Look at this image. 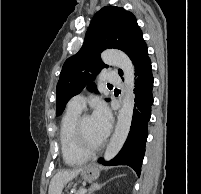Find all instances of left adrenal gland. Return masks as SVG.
Returning <instances> with one entry per match:
<instances>
[{"mask_svg":"<svg viewBox=\"0 0 201 194\" xmlns=\"http://www.w3.org/2000/svg\"><path fill=\"white\" fill-rule=\"evenodd\" d=\"M104 185H105V183H102V184L95 183V184L89 189V193H88V194H91V193H93L94 191L101 189Z\"/></svg>","mask_w":201,"mask_h":194,"instance_id":"a2214340","label":"left adrenal gland"}]
</instances>
